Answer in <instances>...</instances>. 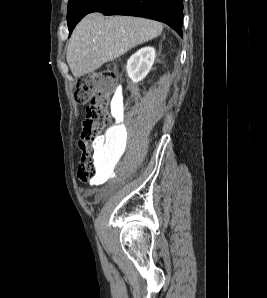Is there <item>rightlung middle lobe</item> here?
I'll list each match as a JSON object with an SVG mask.
<instances>
[{"label": "right lung middle lobe", "mask_w": 267, "mask_h": 298, "mask_svg": "<svg viewBox=\"0 0 267 298\" xmlns=\"http://www.w3.org/2000/svg\"><path fill=\"white\" fill-rule=\"evenodd\" d=\"M98 1L99 0H69L67 21L70 33L80 19L90 13Z\"/></svg>", "instance_id": "obj_1"}]
</instances>
